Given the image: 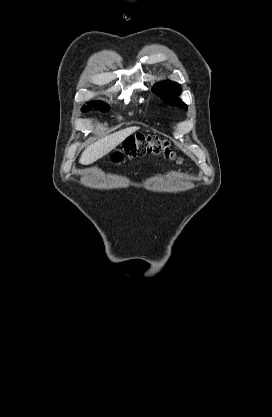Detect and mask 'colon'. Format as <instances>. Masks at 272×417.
<instances>
[{
    "instance_id": "obj_1",
    "label": "colon",
    "mask_w": 272,
    "mask_h": 417,
    "mask_svg": "<svg viewBox=\"0 0 272 417\" xmlns=\"http://www.w3.org/2000/svg\"><path fill=\"white\" fill-rule=\"evenodd\" d=\"M147 154H162L170 159H177L169 144L159 138L137 135L128 138L122 148L111 155L113 162H119L124 157L134 158Z\"/></svg>"
}]
</instances>
